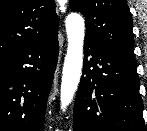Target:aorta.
I'll return each mask as SVG.
<instances>
[{
    "label": "aorta",
    "mask_w": 147,
    "mask_h": 131,
    "mask_svg": "<svg viewBox=\"0 0 147 131\" xmlns=\"http://www.w3.org/2000/svg\"><path fill=\"white\" fill-rule=\"evenodd\" d=\"M68 38L67 54L64 59L60 89L61 109L64 112L73 99L78 87L83 66V43L85 23L81 15L71 13L66 17Z\"/></svg>",
    "instance_id": "aorta-1"
}]
</instances>
